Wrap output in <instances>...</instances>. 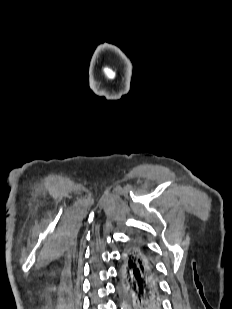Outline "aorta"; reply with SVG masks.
Listing matches in <instances>:
<instances>
[{
	"label": "aorta",
	"instance_id": "obj_1",
	"mask_svg": "<svg viewBox=\"0 0 232 309\" xmlns=\"http://www.w3.org/2000/svg\"><path fill=\"white\" fill-rule=\"evenodd\" d=\"M123 309H129V308H127L126 306H124V308Z\"/></svg>",
	"mask_w": 232,
	"mask_h": 309
}]
</instances>
